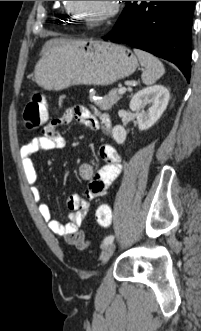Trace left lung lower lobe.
I'll return each instance as SVG.
<instances>
[{"instance_id":"0a47b994","label":"left lung lower lobe","mask_w":201,"mask_h":331,"mask_svg":"<svg viewBox=\"0 0 201 331\" xmlns=\"http://www.w3.org/2000/svg\"><path fill=\"white\" fill-rule=\"evenodd\" d=\"M104 40L129 44L174 63L190 80L195 1H126Z\"/></svg>"}]
</instances>
